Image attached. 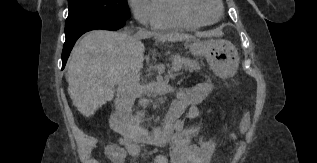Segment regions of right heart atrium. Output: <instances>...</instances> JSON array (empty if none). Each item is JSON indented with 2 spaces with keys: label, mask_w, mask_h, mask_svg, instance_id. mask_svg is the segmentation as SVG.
<instances>
[{
  "label": "right heart atrium",
  "mask_w": 317,
  "mask_h": 163,
  "mask_svg": "<svg viewBox=\"0 0 317 163\" xmlns=\"http://www.w3.org/2000/svg\"><path fill=\"white\" fill-rule=\"evenodd\" d=\"M135 19L144 26H152L157 15L155 0H127Z\"/></svg>",
  "instance_id": "d8ad5b80"
}]
</instances>
